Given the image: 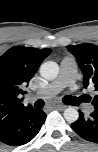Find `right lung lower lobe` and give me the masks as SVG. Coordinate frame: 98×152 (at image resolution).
<instances>
[{"mask_svg": "<svg viewBox=\"0 0 98 152\" xmlns=\"http://www.w3.org/2000/svg\"><path fill=\"white\" fill-rule=\"evenodd\" d=\"M45 119L46 114L42 110L32 107L0 131V141L11 146L26 144L38 134Z\"/></svg>", "mask_w": 98, "mask_h": 152, "instance_id": "1", "label": "right lung lower lobe"}]
</instances>
